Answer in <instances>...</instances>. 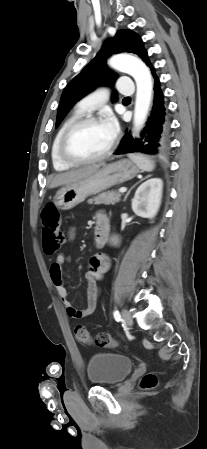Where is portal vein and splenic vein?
Listing matches in <instances>:
<instances>
[{"label":"portal vein and splenic vein","instance_id":"18ae733b","mask_svg":"<svg viewBox=\"0 0 207 449\" xmlns=\"http://www.w3.org/2000/svg\"><path fill=\"white\" fill-rule=\"evenodd\" d=\"M126 191H127V188H125V187H122V188L119 189V192H120V193H124V192H126Z\"/></svg>","mask_w":207,"mask_h":449}]
</instances>
